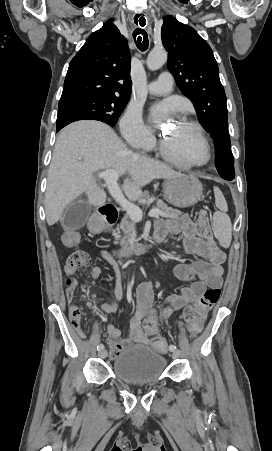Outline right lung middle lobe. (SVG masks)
<instances>
[{
    "label": "right lung middle lobe",
    "instance_id": "1",
    "mask_svg": "<svg viewBox=\"0 0 272 451\" xmlns=\"http://www.w3.org/2000/svg\"><path fill=\"white\" fill-rule=\"evenodd\" d=\"M129 98L116 96H83L60 100L57 128L78 120H99L114 126Z\"/></svg>",
    "mask_w": 272,
    "mask_h": 451
}]
</instances>
